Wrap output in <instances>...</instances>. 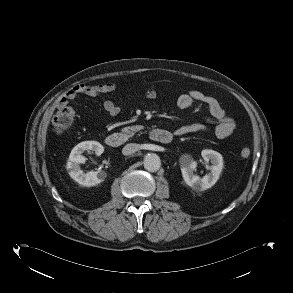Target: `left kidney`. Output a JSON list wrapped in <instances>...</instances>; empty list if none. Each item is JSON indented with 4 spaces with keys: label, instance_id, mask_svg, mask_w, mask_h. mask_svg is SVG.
<instances>
[{
    "label": "left kidney",
    "instance_id": "1",
    "mask_svg": "<svg viewBox=\"0 0 293 293\" xmlns=\"http://www.w3.org/2000/svg\"><path fill=\"white\" fill-rule=\"evenodd\" d=\"M201 155L207 163L210 161L212 164L209 167L210 172L202 178L193 173L194 169L197 167L195 161L183 162L181 164V172L184 181L195 191H204L211 188L219 179L223 168V158L220 153L205 149L201 152Z\"/></svg>",
    "mask_w": 293,
    "mask_h": 293
}]
</instances>
